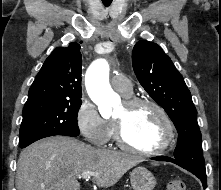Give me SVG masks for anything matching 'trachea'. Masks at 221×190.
I'll use <instances>...</instances> for the list:
<instances>
[{"instance_id": "3493384b", "label": "trachea", "mask_w": 221, "mask_h": 190, "mask_svg": "<svg viewBox=\"0 0 221 190\" xmlns=\"http://www.w3.org/2000/svg\"><path fill=\"white\" fill-rule=\"evenodd\" d=\"M103 4H104L106 7H108V6H110L111 1H109V2H105V1H103Z\"/></svg>"}]
</instances>
